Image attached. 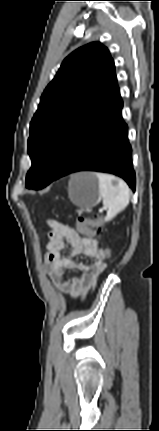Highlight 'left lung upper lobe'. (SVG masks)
<instances>
[{"instance_id":"obj_1","label":"left lung upper lobe","mask_w":159,"mask_h":431,"mask_svg":"<svg viewBox=\"0 0 159 431\" xmlns=\"http://www.w3.org/2000/svg\"><path fill=\"white\" fill-rule=\"evenodd\" d=\"M118 94L114 61L101 43L87 44L65 58L30 123L32 167L27 188L41 189L51 183L78 131Z\"/></svg>"}]
</instances>
